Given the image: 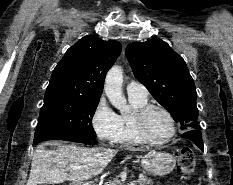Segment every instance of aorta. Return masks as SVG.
Here are the masks:
<instances>
[{"label": "aorta", "instance_id": "1", "mask_svg": "<svg viewBox=\"0 0 233 185\" xmlns=\"http://www.w3.org/2000/svg\"><path fill=\"white\" fill-rule=\"evenodd\" d=\"M123 71L119 66H113L107 73L104 91L111 104L117 108L121 114L130 111L126 98L122 93Z\"/></svg>", "mask_w": 233, "mask_h": 185}]
</instances>
